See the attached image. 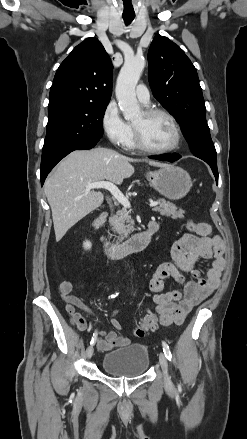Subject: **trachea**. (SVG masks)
<instances>
[{
  "label": "trachea",
  "instance_id": "3493384b",
  "mask_svg": "<svg viewBox=\"0 0 247 439\" xmlns=\"http://www.w3.org/2000/svg\"><path fill=\"white\" fill-rule=\"evenodd\" d=\"M134 17H135V16H123V19H124V21H125V24H126V25H129V24L133 21Z\"/></svg>",
  "mask_w": 247,
  "mask_h": 439
}]
</instances>
